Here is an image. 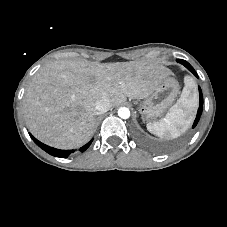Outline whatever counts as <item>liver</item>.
<instances>
[{
	"label": "liver",
	"instance_id": "obj_1",
	"mask_svg": "<svg viewBox=\"0 0 227 227\" xmlns=\"http://www.w3.org/2000/svg\"><path fill=\"white\" fill-rule=\"evenodd\" d=\"M172 72L155 62L54 61L33 76L23 97L31 133L43 143L72 149L87 143L95 127V102L117 106L147 98ZM111 106V107H112Z\"/></svg>",
	"mask_w": 227,
	"mask_h": 227
}]
</instances>
